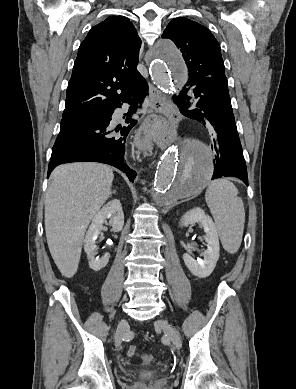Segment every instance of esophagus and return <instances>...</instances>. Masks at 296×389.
I'll return each instance as SVG.
<instances>
[{
  "label": "esophagus",
  "mask_w": 296,
  "mask_h": 389,
  "mask_svg": "<svg viewBox=\"0 0 296 389\" xmlns=\"http://www.w3.org/2000/svg\"><path fill=\"white\" fill-rule=\"evenodd\" d=\"M149 95L151 108L154 112H150L147 122H141L138 126V131L133 133L134 148L144 153L148 152L154 131L168 130L170 127V116L173 115L166 97L152 84H149Z\"/></svg>",
  "instance_id": "esophagus-1"
}]
</instances>
